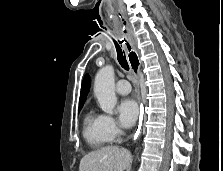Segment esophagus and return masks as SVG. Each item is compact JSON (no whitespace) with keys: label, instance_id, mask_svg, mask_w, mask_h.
Here are the masks:
<instances>
[{"label":"esophagus","instance_id":"obj_1","mask_svg":"<svg viewBox=\"0 0 223 171\" xmlns=\"http://www.w3.org/2000/svg\"><path fill=\"white\" fill-rule=\"evenodd\" d=\"M133 50V49H132ZM128 62L129 65L131 67L132 73L134 75L135 78V85H136V89H137V93H138V102H139V106H140V117H139V122L134 134V140H136L140 134H141V130H142V98L140 96V86H139V71H140V66H141V62L139 60V57L137 55L136 51H129L128 52Z\"/></svg>","mask_w":223,"mask_h":171}]
</instances>
